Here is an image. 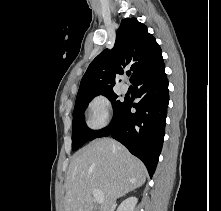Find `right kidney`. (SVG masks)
I'll return each mask as SVG.
<instances>
[{"label":"right kidney","instance_id":"right-kidney-1","mask_svg":"<svg viewBox=\"0 0 221 211\" xmlns=\"http://www.w3.org/2000/svg\"><path fill=\"white\" fill-rule=\"evenodd\" d=\"M137 201L136 197H129L119 205L117 211H134Z\"/></svg>","mask_w":221,"mask_h":211}]
</instances>
